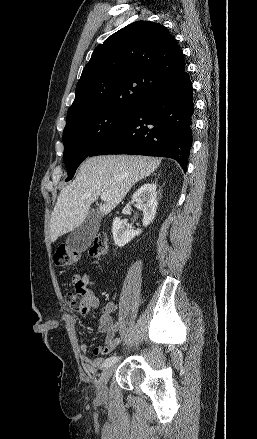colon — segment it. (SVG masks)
I'll return each mask as SVG.
<instances>
[{
  "instance_id": "5ec220e1",
  "label": "colon",
  "mask_w": 257,
  "mask_h": 439,
  "mask_svg": "<svg viewBox=\"0 0 257 439\" xmlns=\"http://www.w3.org/2000/svg\"><path fill=\"white\" fill-rule=\"evenodd\" d=\"M108 243L104 233L96 235L95 240L88 250L92 258H101L107 254ZM78 259V253L66 246L57 248L54 254V262L58 266H66L75 263ZM86 292L82 288H76L74 292L66 293L64 300L69 309L82 312L85 305Z\"/></svg>"
}]
</instances>
